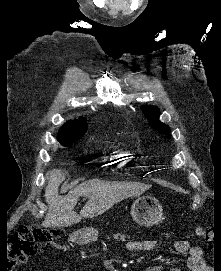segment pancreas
Returning a JSON list of instances; mask_svg holds the SVG:
<instances>
[{
  "label": "pancreas",
  "instance_id": "1",
  "mask_svg": "<svg viewBox=\"0 0 221 271\" xmlns=\"http://www.w3.org/2000/svg\"><path fill=\"white\" fill-rule=\"evenodd\" d=\"M118 235H120V233H117L114 237H110V242H125V237H118ZM127 240L130 242L132 239L129 237Z\"/></svg>",
  "mask_w": 221,
  "mask_h": 271
}]
</instances>
